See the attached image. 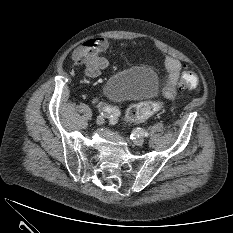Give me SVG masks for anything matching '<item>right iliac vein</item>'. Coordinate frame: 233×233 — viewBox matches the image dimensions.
<instances>
[{"label": "right iliac vein", "mask_w": 233, "mask_h": 233, "mask_svg": "<svg viewBox=\"0 0 233 233\" xmlns=\"http://www.w3.org/2000/svg\"><path fill=\"white\" fill-rule=\"evenodd\" d=\"M104 122H105V117H104V115H99V116H97L96 123H97L98 125H102Z\"/></svg>", "instance_id": "63e3f726"}]
</instances>
